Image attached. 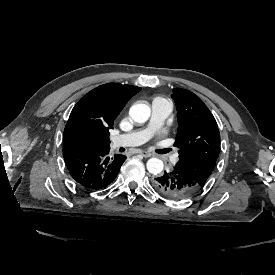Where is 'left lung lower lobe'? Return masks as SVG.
Instances as JSON below:
<instances>
[{"label":"left lung lower lobe","instance_id":"left-lung-lower-lobe-1","mask_svg":"<svg viewBox=\"0 0 275 275\" xmlns=\"http://www.w3.org/2000/svg\"><path fill=\"white\" fill-rule=\"evenodd\" d=\"M153 186L162 195L175 200L189 198L202 187L178 165L155 178Z\"/></svg>","mask_w":275,"mask_h":275}]
</instances>
